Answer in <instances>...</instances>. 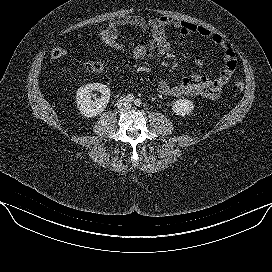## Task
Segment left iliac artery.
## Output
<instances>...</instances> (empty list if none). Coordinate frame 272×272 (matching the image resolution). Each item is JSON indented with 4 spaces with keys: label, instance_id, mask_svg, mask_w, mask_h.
Listing matches in <instances>:
<instances>
[{
    "label": "left iliac artery",
    "instance_id": "1",
    "mask_svg": "<svg viewBox=\"0 0 272 272\" xmlns=\"http://www.w3.org/2000/svg\"><path fill=\"white\" fill-rule=\"evenodd\" d=\"M134 104H135L136 106H140V105L142 104V102H141L140 99L137 98V99H135Z\"/></svg>",
    "mask_w": 272,
    "mask_h": 272
}]
</instances>
